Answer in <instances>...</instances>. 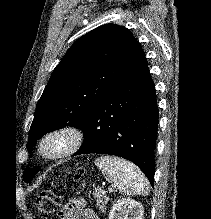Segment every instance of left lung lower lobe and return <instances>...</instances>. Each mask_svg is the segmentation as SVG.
Returning <instances> with one entry per match:
<instances>
[{"mask_svg":"<svg viewBox=\"0 0 211 219\" xmlns=\"http://www.w3.org/2000/svg\"><path fill=\"white\" fill-rule=\"evenodd\" d=\"M158 117L155 86L142 50L87 116L80 128L84 142L74 155L125 158L139 166L153 186Z\"/></svg>","mask_w":211,"mask_h":219,"instance_id":"1","label":"left lung lower lobe"}]
</instances>
